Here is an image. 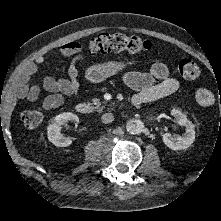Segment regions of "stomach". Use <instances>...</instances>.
I'll return each mask as SVG.
<instances>
[{
  "mask_svg": "<svg viewBox=\"0 0 221 221\" xmlns=\"http://www.w3.org/2000/svg\"><path fill=\"white\" fill-rule=\"evenodd\" d=\"M126 66L127 63L117 61L94 64L86 70L85 78L92 83H101L107 78L122 71Z\"/></svg>",
  "mask_w": 221,
  "mask_h": 221,
  "instance_id": "stomach-1",
  "label": "stomach"
}]
</instances>
